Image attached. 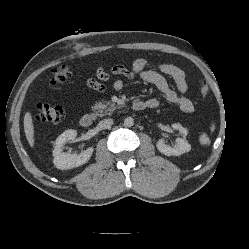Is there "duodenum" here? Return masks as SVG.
<instances>
[{
    "label": "duodenum",
    "mask_w": 249,
    "mask_h": 249,
    "mask_svg": "<svg viewBox=\"0 0 249 249\" xmlns=\"http://www.w3.org/2000/svg\"><path fill=\"white\" fill-rule=\"evenodd\" d=\"M146 107L147 106L143 101H136L132 105V108L136 111H142ZM92 122H93V116L90 113H86L80 118V125L84 128L89 127L92 124Z\"/></svg>",
    "instance_id": "obj_1"
}]
</instances>
